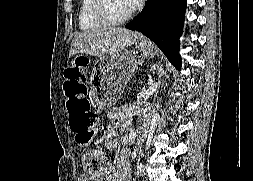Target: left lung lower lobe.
I'll list each match as a JSON object with an SVG mask.
<instances>
[{"mask_svg":"<svg viewBox=\"0 0 253 181\" xmlns=\"http://www.w3.org/2000/svg\"><path fill=\"white\" fill-rule=\"evenodd\" d=\"M186 9V0H147L141 13L126 28L150 38L177 68L181 67L179 37Z\"/></svg>","mask_w":253,"mask_h":181,"instance_id":"0a47b994","label":"left lung lower lobe"}]
</instances>
